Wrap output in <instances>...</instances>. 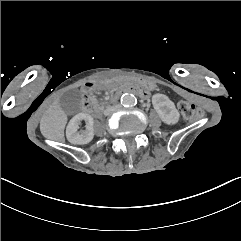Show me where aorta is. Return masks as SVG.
Returning a JSON list of instances; mask_svg holds the SVG:
<instances>
[{
	"instance_id": "aorta-1",
	"label": "aorta",
	"mask_w": 241,
	"mask_h": 241,
	"mask_svg": "<svg viewBox=\"0 0 241 241\" xmlns=\"http://www.w3.org/2000/svg\"><path fill=\"white\" fill-rule=\"evenodd\" d=\"M136 102V98L131 95V94H124L122 95L121 97V103L124 105V106H131V105H134Z\"/></svg>"
}]
</instances>
